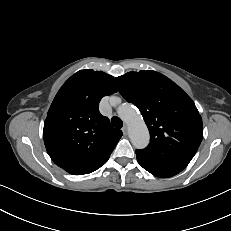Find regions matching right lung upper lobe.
Segmentation results:
<instances>
[{"mask_svg": "<svg viewBox=\"0 0 231 231\" xmlns=\"http://www.w3.org/2000/svg\"><path fill=\"white\" fill-rule=\"evenodd\" d=\"M117 91L111 75L91 69L78 71L63 84L43 129L46 150L56 165L82 175L108 160L123 133L100 114L99 102Z\"/></svg>", "mask_w": 231, "mask_h": 231, "instance_id": "obj_1", "label": "right lung upper lobe"}]
</instances>
